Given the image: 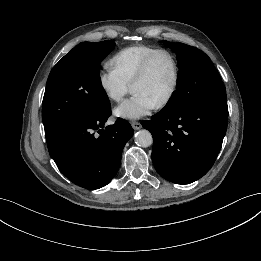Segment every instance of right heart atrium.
<instances>
[{
	"label": "right heart atrium",
	"instance_id": "1",
	"mask_svg": "<svg viewBox=\"0 0 261 261\" xmlns=\"http://www.w3.org/2000/svg\"><path fill=\"white\" fill-rule=\"evenodd\" d=\"M97 80L101 91L114 102H120L129 92L130 84L111 68L101 69Z\"/></svg>",
	"mask_w": 261,
	"mask_h": 261
}]
</instances>
